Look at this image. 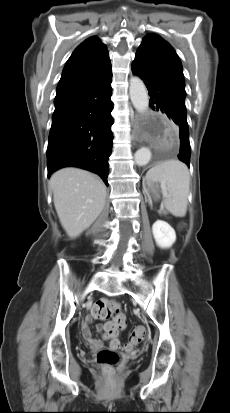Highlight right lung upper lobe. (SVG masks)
Segmentation results:
<instances>
[{
  "instance_id": "obj_1",
  "label": "right lung upper lobe",
  "mask_w": 230,
  "mask_h": 413,
  "mask_svg": "<svg viewBox=\"0 0 230 413\" xmlns=\"http://www.w3.org/2000/svg\"><path fill=\"white\" fill-rule=\"evenodd\" d=\"M111 73L109 52L100 39L90 37L82 42L68 59L57 92L94 82Z\"/></svg>"
}]
</instances>
